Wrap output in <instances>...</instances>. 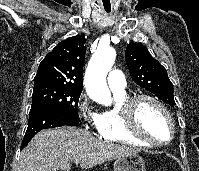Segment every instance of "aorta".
Instances as JSON below:
<instances>
[{
  "label": "aorta",
  "mask_w": 199,
  "mask_h": 171,
  "mask_svg": "<svg viewBox=\"0 0 199 171\" xmlns=\"http://www.w3.org/2000/svg\"><path fill=\"white\" fill-rule=\"evenodd\" d=\"M116 52L110 47H98L91 57L85 74V88L91 99L108 106L112 102L106 76L113 66Z\"/></svg>",
  "instance_id": "aorta-1"
}]
</instances>
